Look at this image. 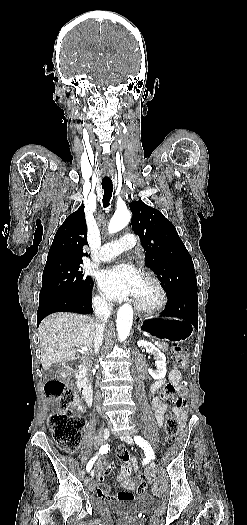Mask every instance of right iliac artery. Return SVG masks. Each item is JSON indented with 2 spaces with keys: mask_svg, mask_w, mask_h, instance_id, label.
Returning a JSON list of instances; mask_svg holds the SVG:
<instances>
[{
  "mask_svg": "<svg viewBox=\"0 0 247 525\" xmlns=\"http://www.w3.org/2000/svg\"><path fill=\"white\" fill-rule=\"evenodd\" d=\"M110 450V445L106 444V445H103L100 449H99V454L103 455V454H106L108 451ZM97 455L95 457H93L87 464L86 466V469L87 471L89 472L95 462V460L97 459Z\"/></svg>",
  "mask_w": 247,
  "mask_h": 525,
  "instance_id": "82829eb1",
  "label": "right iliac artery"
}]
</instances>
